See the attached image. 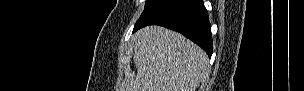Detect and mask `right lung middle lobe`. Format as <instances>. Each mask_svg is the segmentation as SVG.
Wrapping results in <instances>:
<instances>
[{
    "instance_id": "obj_1",
    "label": "right lung middle lobe",
    "mask_w": 304,
    "mask_h": 91,
    "mask_svg": "<svg viewBox=\"0 0 304 91\" xmlns=\"http://www.w3.org/2000/svg\"><path fill=\"white\" fill-rule=\"evenodd\" d=\"M150 2H151V0L146 1V6L145 7H147L150 4Z\"/></svg>"
}]
</instances>
